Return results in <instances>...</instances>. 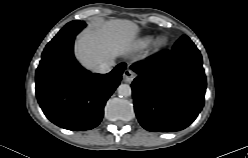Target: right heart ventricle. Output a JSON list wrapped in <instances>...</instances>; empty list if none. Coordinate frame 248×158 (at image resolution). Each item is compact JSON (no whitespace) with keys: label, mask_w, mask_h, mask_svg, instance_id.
Returning a JSON list of instances; mask_svg holds the SVG:
<instances>
[{"label":"right heart ventricle","mask_w":248,"mask_h":158,"mask_svg":"<svg viewBox=\"0 0 248 158\" xmlns=\"http://www.w3.org/2000/svg\"><path fill=\"white\" fill-rule=\"evenodd\" d=\"M152 40L153 39L151 37H145L142 40H140L139 45L142 47H146L152 42Z\"/></svg>","instance_id":"1"}]
</instances>
